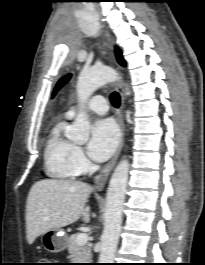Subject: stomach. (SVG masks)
<instances>
[{
    "label": "stomach",
    "mask_w": 205,
    "mask_h": 265,
    "mask_svg": "<svg viewBox=\"0 0 205 265\" xmlns=\"http://www.w3.org/2000/svg\"><path fill=\"white\" fill-rule=\"evenodd\" d=\"M41 240L44 248L52 253L61 252L67 247V235L62 229L45 232Z\"/></svg>",
    "instance_id": "1"
}]
</instances>
